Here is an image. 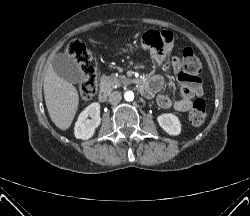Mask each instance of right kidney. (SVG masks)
<instances>
[{
	"mask_svg": "<svg viewBox=\"0 0 250 216\" xmlns=\"http://www.w3.org/2000/svg\"><path fill=\"white\" fill-rule=\"evenodd\" d=\"M88 117L91 119H88ZM100 123V104L94 102L80 113L74 127L75 137L83 140L91 138Z\"/></svg>",
	"mask_w": 250,
	"mask_h": 216,
	"instance_id": "obj_1",
	"label": "right kidney"
}]
</instances>
